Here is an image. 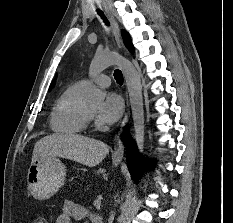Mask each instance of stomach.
Masks as SVG:
<instances>
[{
	"mask_svg": "<svg viewBox=\"0 0 233 223\" xmlns=\"http://www.w3.org/2000/svg\"><path fill=\"white\" fill-rule=\"evenodd\" d=\"M119 163L120 159H113ZM66 179V165L57 155H39L27 173L28 189L35 199H50Z\"/></svg>",
	"mask_w": 233,
	"mask_h": 223,
	"instance_id": "obj_1",
	"label": "stomach"
}]
</instances>
